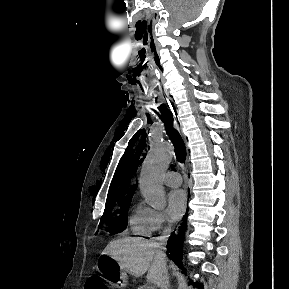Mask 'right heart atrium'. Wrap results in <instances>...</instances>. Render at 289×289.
<instances>
[{
	"label": "right heart atrium",
	"instance_id": "obj_1",
	"mask_svg": "<svg viewBox=\"0 0 289 289\" xmlns=\"http://www.w3.org/2000/svg\"><path fill=\"white\" fill-rule=\"evenodd\" d=\"M169 227V220L162 211H154L153 231H162Z\"/></svg>",
	"mask_w": 289,
	"mask_h": 289
}]
</instances>
